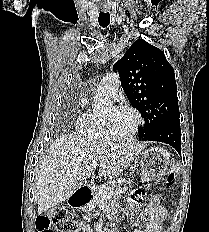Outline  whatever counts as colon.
I'll return each instance as SVG.
<instances>
[{
  "label": "colon",
  "mask_w": 209,
  "mask_h": 232,
  "mask_svg": "<svg viewBox=\"0 0 209 232\" xmlns=\"http://www.w3.org/2000/svg\"><path fill=\"white\" fill-rule=\"evenodd\" d=\"M175 180V172L170 171L167 177L168 184ZM35 226L39 232H52V228L59 232H77L78 222L71 218L62 207L49 210L40 214L35 220Z\"/></svg>",
  "instance_id": "obj_1"
}]
</instances>
